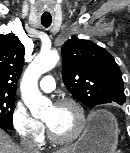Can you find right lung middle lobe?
<instances>
[{"instance_id":"1","label":"right lung middle lobe","mask_w":130,"mask_h":153,"mask_svg":"<svg viewBox=\"0 0 130 153\" xmlns=\"http://www.w3.org/2000/svg\"><path fill=\"white\" fill-rule=\"evenodd\" d=\"M15 96L0 95V124L12 130Z\"/></svg>"}]
</instances>
